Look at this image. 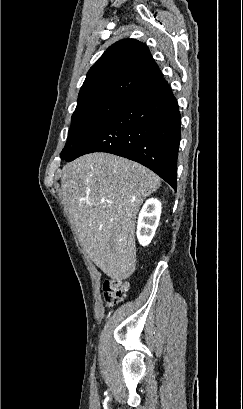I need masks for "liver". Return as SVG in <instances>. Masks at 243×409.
<instances>
[{
  "label": "liver",
  "mask_w": 243,
  "mask_h": 409,
  "mask_svg": "<svg viewBox=\"0 0 243 409\" xmlns=\"http://www.w3.org/2000/svg\"><path fill=\"white\" fill-rule=\"evenodd\" d=\"M160 186L146 167L109 153L84 155L62 169L63 200L95 265L121 281L136 267L135 220Z\"/></svg>",
  "instance_id": "1"
}]
</instances>
